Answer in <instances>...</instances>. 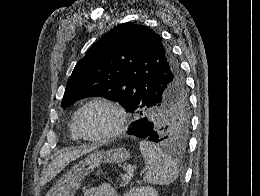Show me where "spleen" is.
Listing matches in <instances>:
<instances>
[{
	"instance_id": "3e777b00",
	"label": "spleen",
	"mask_w": 260,
	"mask_h": 196,
	"mask_svg": "<svg viewBox=\"0 0 260 196\" xmlns=\"http://www.w3.org/2000/svg\"><path fill=\"white\" fill-rule=\"evenodd\" d=\"M139 150L145 160L148 172L144 174V182L148 184H171L177 180L179 170L173 158L163 154V150L152 144V142H139Z\"/></svg>"
}]
</instances>
